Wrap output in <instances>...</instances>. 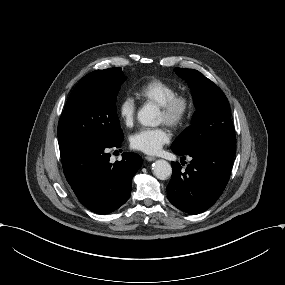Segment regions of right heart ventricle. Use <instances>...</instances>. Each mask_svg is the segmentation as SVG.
Returning <instances> with one entry per match:
<instances>
[{
	"mask_svg": "<svg viewBox=\"0 0 285 285\" xmlns=\"http://www.w3.org/2000/svg\"><path fill=\"white\" fill-rule=\"evenodd\" d=\"M176 90L177 87L173 82L161 78H152L141 84L135 90V94L142 102L159 105Z\"/></svg>",
	"mask_w": 285,
	"mask_h": 285,
	"instance_id": "e07e8e85",
	"label": "right heart ventricle"
}]
</instances>
